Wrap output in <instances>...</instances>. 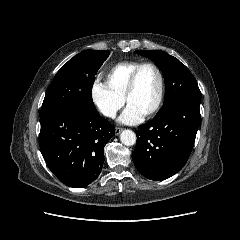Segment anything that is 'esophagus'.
Returning <instances> with one entry per match:
<instances>
[{"mask_svg":"<svg viewBox=\"0 0 240 240\" xmlns=\"http://www.w3.org/2000/svg\"><path fill=\"white\" fill-rule=\"evenodd\" d=\"M122 130H123L122 128H116L115 129V134L119 135L122 132Z\"/></svg>","mask_w":240,"mask_h":240,"instance_id":"obj_1","label":"esophagus"}]
</instances>
